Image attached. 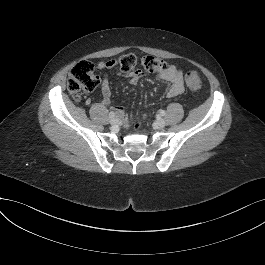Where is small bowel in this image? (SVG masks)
Listing matches in <instances>:
<instances>
[{
  "mask_svg": "<svg viewBox=\"0 0 265 265\" xmlns=\"http://www.w3.org/2000/svg\"><path fill=\"white\" fill-rule=\"evenodd\" d=\"M97 66L99 69H113L117 67V63L115 59H110L107 61L99 62ZM125 75L128 78L130 84H137L144 76V72L142 70L137 69L134 72ZM158 77L169 83V87L166 92V95L168 97H175L183 93L184 91L183 70L180 67L170 65L168 66L166 71L159 73ZM111 94L112 93H111L109 80L107 77H104L101 82V95H102L101 103L103 105L111 104ZM86 104L91 105L92 100L87 99ZM114 111L124 123H128L130 121L129 115L126 114L123 108L114 107Z\"/></svg>",
  "mask_w": 265,
  "mask_h": 265,
  "instance_id": "1",
  "label": "small bowel"
}]
</instances>
